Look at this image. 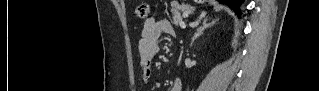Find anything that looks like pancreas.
<instances>
[{
	"label": "pancreas",
	"instance_id": "cf45deb5",
	"mask_svg": "<svg viewBox=\"0 0 319 91\" xmlns=\"http://www.w3.org/2000/svg\"><path fill=\"white\" fill-rule=\"evenodd\" d=\"M181 12L189 13L190 7L186 5H173L171 9L172 22L174 25H178L182 21Z\"/></svg>",
	"mask_w": 319,
	"mask_h": 91
}]
</instances>
